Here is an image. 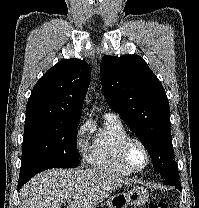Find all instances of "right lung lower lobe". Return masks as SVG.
I'll use <instances>...</instances> for the list:
<instances>
[{
  "instance_id": "obj_1",
  "label": "right lung lower lobe",
  "mask_w": 199,
  "mask_h": 208,
  "mask_svg": "<svg viewBox=\"0 0 199 208\" xmlns=\"http://www.w3.org/2000/svg\"><path fill=\"white\" fill-rule=\"evenodd\" d=\"M28 180H29L28 178H19L18 189H20L22 185L26 183Z\"/></svg>"
}]
</instances>
